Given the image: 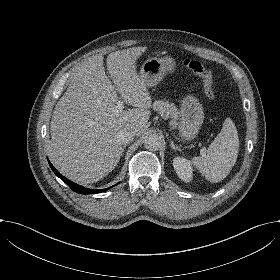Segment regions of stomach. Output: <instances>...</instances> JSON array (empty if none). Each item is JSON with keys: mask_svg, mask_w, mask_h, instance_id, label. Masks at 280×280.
<instances>
[{"mask_svg": "<svg viewBox=\"0 0 280 280\" xmlns=\"http://www.w3.org/2000/svg\"><path fill=\"white\" fill-rule=\"evenodd\" d=\"M172 66L169 58L159 59L152 57L147 59L140 67L138 77L146 88H152L159 84L165 72ZM203 121V109L196 99L189 97L182 104L181 129L185 136L192 137Z\"/></svg>", "mask_w": 280, "mask_h": 280, "instance_id": "stomach-1", "label": "stomach"}]
</instances>
